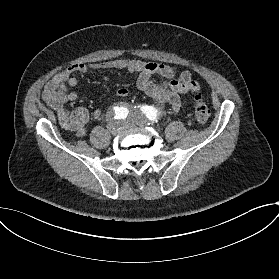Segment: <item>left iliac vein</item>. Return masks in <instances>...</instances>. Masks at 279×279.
<instances>
[{
  "mask_svg": "<svg viewBox=\"0 0 279 279\" xmlns=\"http://www.w3.org/2000/svg\"><path fill=\"white\" fill-rule=\"evenodd\" d=\"M128 119H129V121H131V122L133 121L134 124H135L136 126L140 127V128L143 127V125H144L142 121H140V120L137 119V118L135 119V118H134V115L129 116ZM144 128L147 129V130L149 129V128L146 127V126H145ZM150 130H151L152 132H154V133H157V132H158L157 130H153L152 128H151Z\"/></svg>",
  "mask_w": 279,
  "mask_h": 279,
  "instance_id": "1",
  "label": "left iliac vein"
}]
</instances>
